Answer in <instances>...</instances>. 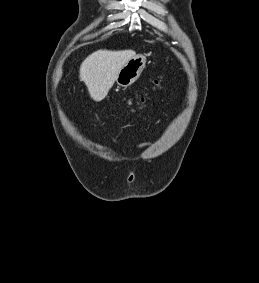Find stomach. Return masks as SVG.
Returning a JSON list of instances; mask_svg holds the SVG:
<instances>
[{
    "mask_svg": "<svg viewBox=\"0 0 259 283\" xmlns=\"http://www.w3.org/2000/svg\"><path fill=\"white\" fill-rule=\"evenodd\" d=\"M146 59L143 55H136L130 59L119 71L116 83L121 87H128L133 84L142 73Z\"/></svg>",
    "mask_w": 259,
    "mask_h": 283,
    "instance_id": "stomach-1",
    "label": "stomach"
}]
</instances>
